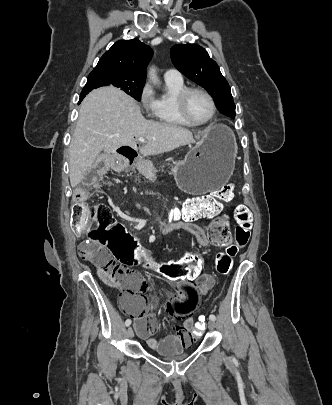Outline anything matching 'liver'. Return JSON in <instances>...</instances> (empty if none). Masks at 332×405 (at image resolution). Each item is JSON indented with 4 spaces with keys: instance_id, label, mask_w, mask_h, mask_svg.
<instances>
[{
    "instance_id": "liver-1",
    "label": "liver",
    "mask_w": 332,
    "mask_h": 405,
    "mask_svg": "<svg viewBox=\"0 0 332 405\" xmlns=\"http://www.w3.org/2000/svg\"><path fill=\"white\" fill-rule=\"evenodd\" d=\"M143 137V156L170 152L195 143L200 136L180 126L146 120L135 100L120 89L102 87L91 91L83 100L76 128L69 146L70 184L77 186L102 151L111 165L109 153Z\"/></svg>"
}]
</instances>
